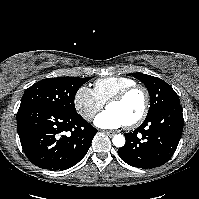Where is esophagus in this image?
Returning a JSON list of instances; mask_svg holds the SVG:
<instances>
[{
	"instance_id": "esophagus-1",
	"label": "esophagus",
	"mask_w": 199,
	"mask_h": 199,
	"mask_svg": "<svg viewBox=\"0 0 199 199\" xmlns=\"http://www.w3.org/2000/svg\"><path fill=\"white\" fill-rule=\"evenodd\" d=\"M104 132H105L108 136H114V135H115V132H114V131L105 130Z\"/></svg>"
}]
</instances>
